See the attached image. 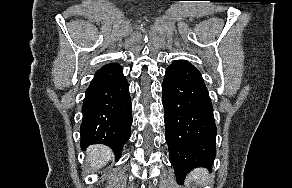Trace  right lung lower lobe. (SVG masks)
I'll use <instances>...</instances> for the list:
<instances>
[{
    "mask_svg": "<svg viewBox=\"0 0 292 188\" xmlns=\"http://www.w3.org/2000/svg\"><path fill=\"white\" fill-rule=\"evenodd\" d=\"M81 145L105 144L121 157L131 134L129 86L117 63L102 66L94 75L82 105Z\"/></svg>",
    "mask_w": 292,
    "mask_h": 188,
    "instance_id": "right-lung-lower-lobe-1",
    "label": "right lung lower lobe"
}]
</instances>
